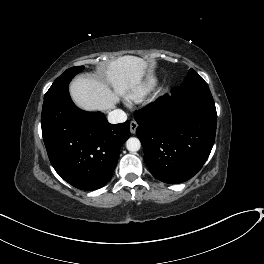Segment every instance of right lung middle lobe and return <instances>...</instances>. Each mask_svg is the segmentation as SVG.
Masks as SVG:
<instances>
[{
	"instance_id": "dd1d6c3e",
	"label": "right lung middle lobe",
	"mask_w": 264,
	"mask_h": 264,
	"mask_svg": "<svg viewBox=\"0 0 264 264\" xmlns=\"http://www.w3.org/2000/svg\"><path fill=\"white\" fill-rule=\"evenodd\" d=\"M84 69V66H77L67 69L62 75H60L46 92L44 98L56 93L57 91L68 86L71 79L81 72Z\"/></svg>"
}]
</instances>
